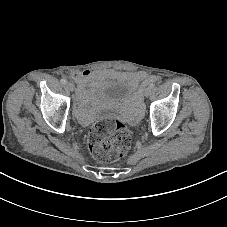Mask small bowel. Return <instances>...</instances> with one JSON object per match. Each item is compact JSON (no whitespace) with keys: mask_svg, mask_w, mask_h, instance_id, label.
Instances as JSON below:
<instances>
[{"mask_svg":"<svg viewBox=\"0 0 227 227\" xmlns=\"http://www.w3.org/2000/svg\"><path fill=\"white\" fill-rule=\"evenodd\" d=\"M72 78L78 83V96L80 102H82L90 93V89L88 86L91 82L96 79H100L103 77H118L122 76L127 79L134 86L141 83L143 86L148 84L151 80V77L147 76L143 73H124L120 75L114 70H104V71H92V70H75L71 74ZM83 118V115H80Z\"/></svg>","mask_w":227,"mask_h":227,"instance_id":"obj_1","label":"small bowel"}]
</instances>
